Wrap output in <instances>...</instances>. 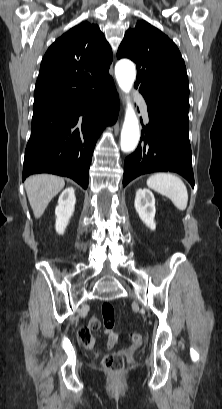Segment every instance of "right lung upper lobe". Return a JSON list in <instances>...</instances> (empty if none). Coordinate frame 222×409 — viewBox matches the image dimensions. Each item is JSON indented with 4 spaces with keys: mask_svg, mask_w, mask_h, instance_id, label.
Segmentation results:
<instances>
[{
    "mask_svg": "<svg viewBox=\"0 0 222 409\" xmlns=\"http://www.w3.org/2000/svg\"><path fill=\"white\" fill-rule=\"evenodd\" d=\"M112 51L96 24L82 22L59 37L45 53L33 109L83 95L109 76Z\"/></svg>",
    "mask_w": 222,
    "mask_h": 409,
    "instance_id": "right-lung-upper-lobe-1",
    "label": "right lung upper lobe"
}]
</instances>
